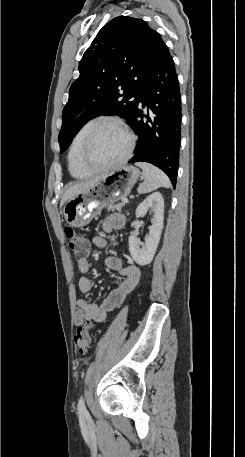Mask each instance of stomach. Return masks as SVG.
Returning <instances> with one entry per match:
<instances>
[{
	"instance_id": "stomach-1",
	"label": "stomach",
	"mask_w": 245,
	"mask_h": 457,
	"mask_svg": "<svg viewBox=\"0 0 245 457\" xmlns=\"http://www.w3.org/2000/svg\"><path fill=\"white\" fill-rule=\"evenodd\" d=\"M140 174L136 166H119L104 178L94 182L83 192L69 198L64 204L63 214L70 226H85L97 214H100L107 202H117L128 196Z\"/></svg>"
}]
</instances>
